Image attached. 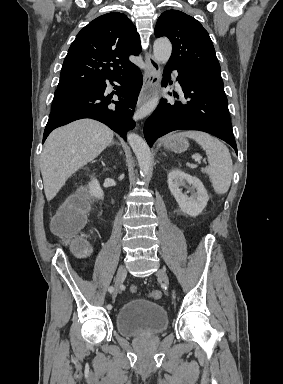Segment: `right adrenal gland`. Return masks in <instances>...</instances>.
<instances>
[{"label": "right adrenal gland", "instance_id": "2a0ac1e0", "mask_svg": "<svg viewBox=\"0 0 283 384\" xmlns=\"http://www.w3.org/2000/svg\"><path fill=\"white\" fill-rule=\"evenodd\" d=\"M112 144H118V142H114V140H113V142H111V144H109V146H112ZM118 146H120V144H118Z\"/></svg>", "mask_w": 283, "mask_h": 384}]
</instances>
